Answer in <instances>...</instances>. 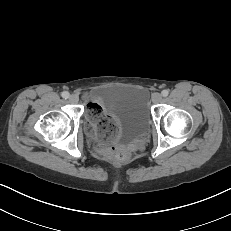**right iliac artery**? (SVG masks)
Here are the masks:
<instances>
[{"instance_id":"obj_1","label":"right iliac artery","mask_w":231,"mask_h":231,"mask_svg":"<svg viewBox=\"0 0 231 231\" xmlns=\"http://www.w3.org/2000/svg\"><path fill=\"white\" fill-rule=\"evenodd\" d=\"M69 92H67V91H64V92H62V94H61V96L63 97V98H65V99H68L69 98Z\"/></svg>"}]
</instances>
